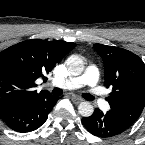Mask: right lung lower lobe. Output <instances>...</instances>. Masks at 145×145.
Returning <instances> with one entry per match:
<instances>
[{"label":"right lung lower lobe","mask_w":145,"mask_h":145,"mask_svg":"<svg viewBox=\"0 0 145 145\" xmlns=\"http://www.w3.org/2000/svg\"><path fill=\"white\" fill-rule=\"evenodd\" d=\"M60 97L48 95L36 102L12 107L0 113V119L16 132H30L45 123Z\"/></svg>","instance_id":"98d812e1"}]
</instances>
